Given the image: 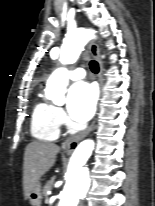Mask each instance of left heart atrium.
Returning a JSON list of instances; mask_svg holds the SVG:
<instances>
[{
    "label": "left heart atrium",
    "instance_id": "left-heart-atrium-1",
    "mask_svg": "<svg viewBox=\"0 0 155 206\" xmlns=\"http://www.w3.org/2000/svg\"><path fill=\"white\" fill-rule=\"evenodd\" d=\"M96 89L87 82L73 84L68 92L67 109L70 116L77 121H87L94 113Z\"/></svg>",
    "mask_w": 155,
    "mask_h": 206
}]
</instances>
